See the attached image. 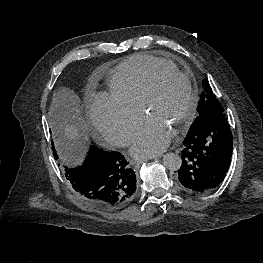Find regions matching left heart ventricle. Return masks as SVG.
<instances>
[{
    "instance_id": "b2bd125f",
    "label": "left heart ventricle",
    "mask_w": 263,
    "mask_h": 263,
    "mask_svg": "<svg viewBox=\"0 0 263 263\" xmlns=\"http://www.w3.org/2000/svg\"><path fill=\"white\" fill-rule=\"evenodd\" d=\"M188 105L186 83L174 76H163L157 83L147 116L162 123L171 133Z\"/></svg>"
}]
</instances>
